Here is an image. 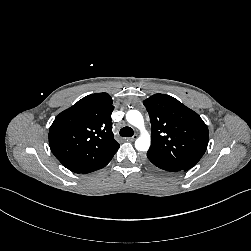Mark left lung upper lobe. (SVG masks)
I'll use <instances>...</instances> for the list:
<instances>
[{
    "label": "left lung upper lobe",
    "mask_w": 251,
    "mask_h": 251,
    "mask_svg": "<svg viewBox=\"0 0 251 251\" xmlns=\"http://www.w3.org/2000/svg\"><path fill=\"white\" fill-rule=\"evenodd\" d=\"M151 121V147L147 157L187 171L206 151L209 132L201 117L177 99L154 94L143 101Z\"/></svg>",
    "instance_id": "5c2ea615"
}]
</instances>
